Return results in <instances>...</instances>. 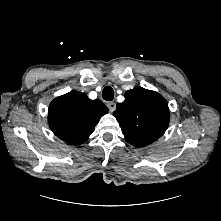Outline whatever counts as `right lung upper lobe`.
I'll return each instance as SVG.
<instances>
[{"mask_svg": "<svg viewBox=\"0 0 221 221\" xmlns=\"http://www.w3.org/2000/svg\"><path fill=\"white\" fill-rule=\"evenodd\" d=\"M108 108L85 93L71 91L55 98L49 105L48 122L52 132L72 145L87 141Z\"/></svg>", "mask_w": 221, "mask_h": 221, "instance_id": "right-lung-upper-lobe-1", "label": "right lung upper lobe"}]
</instances>
